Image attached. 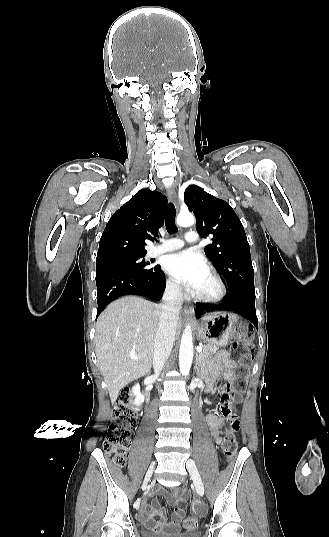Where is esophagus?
<instances>
[{
    "mask_svg": "<svg viewBox=\"0 0 329 537\" xmlns=\"http://www.w3.org/2000/svg\"><path fill=\"white\" fill-rule=\"evenodd\" d=\"M167 196L169 198V200L171 202H173L177 207H178V197H177V194H176V191L173 187H168L167 188ZM183 313L184 314H191L193 315L194 314V309L190 306H185L184 309H183Z\"/></svg>",
    "mask_w": 329,
    "mask_h": 537,
    "instance_id": "esophagus-1",
    "label": "esophagus"
}]
</instances>
